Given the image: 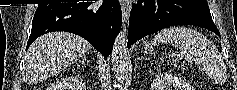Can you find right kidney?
<instances>
[{"label": "right kidney", "instance_id": "right-kidney-1", "mask_svg": "<svg viewBox=\"0 0 237 90\" xmlns=\"http://www.w3.org/2000/svg\"><path fill=\"white\" fill-rule=\"evenodd\" d=\"M61 88H63V86H61V84H58V86H50V90H61Z\"/></svg>", "mask_w": 237, "mask_h": 90}]
</instances>
